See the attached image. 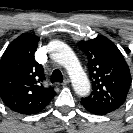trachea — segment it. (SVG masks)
Returning <instances> with one entry per match:
<instances>
[{
    "label": "trachea",
    "instance_id": "trachea-1",
    "mask_svg": "<svg viewBox=\"0 0 133 133\" xmlns=\"http://www.w3.org/2000/svg\"><path fill=\"white\" fill-rule=\"evenodd\" d=\"M62 81H63V75L61 71L58 69H55L51 75V82L54 83V82H62Z\"/></svg>",
    "mask_w": 133,
    "mask_h": 133
}]
</instances>
